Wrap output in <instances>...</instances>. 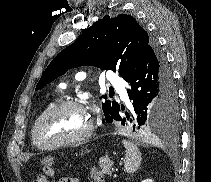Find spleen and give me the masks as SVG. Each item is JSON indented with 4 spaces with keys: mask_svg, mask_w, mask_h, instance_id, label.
<instances>
[{
    "mask_svg": "<svg viewBox=\"0 0 211 182\" xmlns=\"http://www.w3.org/2000/svg\"><path fill=\"white\" fill-rule=\"evenodd\" d=\"M122 143L126 149L124 158L125 171L130 174L135 173L141 165V153L134 143L127 140H123Z\"/></svg>",
    "mask_w": 211,
    "mask_h": 182,
    "instance_id": "1",
    "label": "spleen"
}]
</instances>
